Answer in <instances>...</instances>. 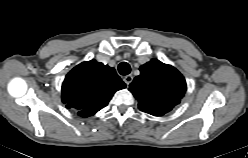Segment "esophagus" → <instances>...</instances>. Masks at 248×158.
Segmentation results:
<instances>
[{
	"mask_svg": "<svg viewBox=\"0 0 248 158\" xmlns=\"http://www.w3.org/2000/svg\"><path fill=\"white\" fill-rule=\"evenodd\" d=\"M123 80L127 85H129L133 81V76L130 74L126 75Z\"/></svg>",
	"mask_w": 248,
	"mask_h": 158,
	"instance_id": "obj_1",
	"label": "esophagus"
}]
</instances>
